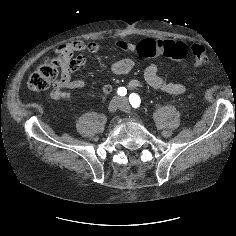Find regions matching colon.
Segmentation results:
<instances>
[{
	"label": "colon",
	"mask_w": 236,
	"mask_h": 236,
	"mask_svg": "<svg viewBox=\"0 0 236 236\" xmlns=\"http://www.w3.org/2000/svg\"><path fill=\"white\" fill-rule=\"evenodd\" d=\"M190 50L193 55L192 65L194 67L208 64L209 59L202 45L193 44ZM188 52L189 49L184 43L170 40L158 41L155 44L150 40H145L139 46V55L143 58L163 55L173 60H182ZM71 58L72 53L66 46L59 47L53 58L42 62L31 74L28 82L29 87L34 91H41L57 83Z\"/></svg>",
	"instance_id": "5ec220e1"
}]
</instances>
